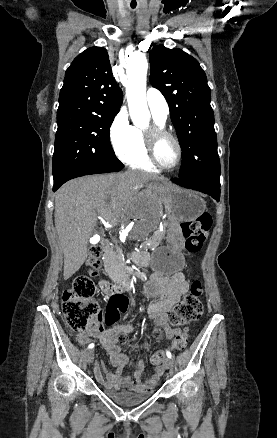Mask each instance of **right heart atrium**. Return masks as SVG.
<instances>
[{
    "label": "right heart atrium",
    "instance_id": "obj_1",
    "mask_svg": "<svg viewBox=\"0 0 277 438\" xmlns=\"http://www.w3.org/2000/svg\"><path fill=\"white\" fill-rule=\"evenodd\" d=\"M111 142L120 155L129 151L133 144V127L130 125L127 115L119 112L110 127Z\"/></svg>",
    "mask_w": 277,
    "mask_h": 438
}]
</instances>
